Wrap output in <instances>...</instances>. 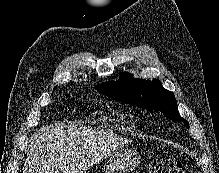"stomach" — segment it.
I'll return each instance as SVG.
<instances>
[{"mask_svg": "<svg viewBox=\"0 0 219 173\" xmlns=\"http://www.w3.org/2000/svg\"><path fill=\"white\" fill-rule=\"evenodd\" d=\"M140 156L135 149L122 148L112 154L104 166V173H129L139 164Z\"/></svg>", "mask_w": 219, "mask_h": 173, "instance_id": "obj_1", "label": "stomach"}]
</instances>
